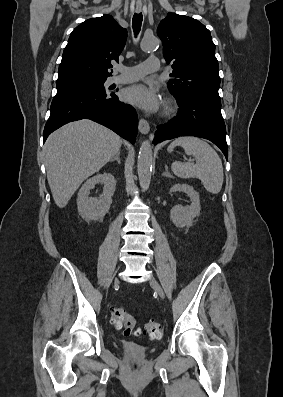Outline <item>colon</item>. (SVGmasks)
<instances>
[{"label": "colon", "mask_w": 283, "mask_h": 397, "mask_svg": "<svg viewBox=\"0 0 283 397\" xmlns=\"http://www.w3.org/2000/svg\"><path fill=\"white\" fill-rule=\"evenodd\" d=\"M111 320L114 326L118 329L122 328L126 335L140 336L143 334L151 339H157L162 332L161 323L155 320L148 321L143 329L139 328L135 317L122 306L112 308Z\"/></svg>", "instance_id": "colon-1"}]
</instances>
